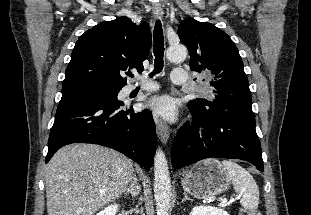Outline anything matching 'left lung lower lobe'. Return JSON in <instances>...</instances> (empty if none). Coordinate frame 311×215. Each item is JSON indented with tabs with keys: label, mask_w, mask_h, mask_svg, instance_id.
Here are the masks:
<instances>
[{
	"label": "left lung lower lobe",
	"mask_w": 311,
	"mask_h": 215,
	"mask_svg": "<svg viewBox=\"0 0 311 215\" xmlns=\"http://www.w3.org/2000/svg\"><path fill=\"white\" fill-rule=\"evenodd\" d=\"M189 109L193 122L180 128L171 149L175 169L217 157L245 160L258 170H264L253 112L226 110L212 113Z\"/></svg>",
	"instance_id": "1"
}]
</instances>
